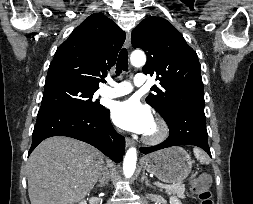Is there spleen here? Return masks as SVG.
<instances>
[{
  "instance_id": "3e777b00",
  "label": "spleen",
  "mask_w": 253,
  "mask_h": 204,
  "mask_svg": "<svg viewBox=\"0 0 253 204\" xmlns=\"http://www.w3.org/2000/svg\"><path fill=\"white\" fill-rule=\"evenodd\" d=\"M193 152L195 157L199 159L201 162L206 164L210 163L211 161L210 158L205 153H203L199 148H194Z\"/></svg>"
}]
</instances>
